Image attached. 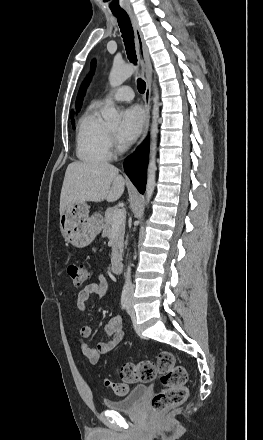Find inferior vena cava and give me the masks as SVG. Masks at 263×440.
<instances>
[{"label":"inferior vena cava","mask_w":263,"mask_h":440,"mask_svg":"<svg viewBox=\"0 0 263 440\" xmlns=\"http://www.w3.org/2000/svg\"><path fill=\"white\" fill-rule=\"evenodd\" d=\"M127 286H128L127 287L128 295L131 296L132 293H133V287H132V284L130 282V269L128 271Z\"/></svg>","instance_id":"obj_1"}]
</instances>
